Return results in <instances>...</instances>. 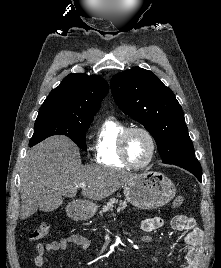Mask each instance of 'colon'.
Listing matches in <instances>:
<instances>
[{
  "label": "colon",
  "instance_id": "colon-1",
  "mask_svg": "<svg viewBox=\"0 0 221 268\" xmlns=\"http://www.w3.org/2000/svg\"><path fill=\"white\" fill-rule=\"evenodd\" d=\"M185 199L183 196H178L173 200V206L174 207H180L183 205ZM50 232V226L48 224H41L38 227H36L29 235V239L31 241H38L44 237H46Z\"/></svg>",
  "mask_w": 221,
  "mask_h": 268
}]
</instances>
